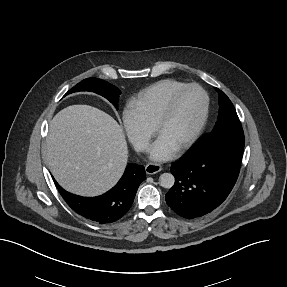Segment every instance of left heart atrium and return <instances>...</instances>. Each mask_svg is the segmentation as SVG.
<instances>
[{"label":"left heart atrium","instance_id":"obj_1","mask_svg":"<svg viewBox=\"0 0 287 287\" xmlns=\"http://www.w3.org/2000/svg\"><path fill=\"white\" fill-rule=\"evenodd\" d=\"M173 152L174 148L158 139L150 150V156L155 160H165L168 159Z\"/></svg>","mask_w":287,"mask_h":287}]
</instances>
